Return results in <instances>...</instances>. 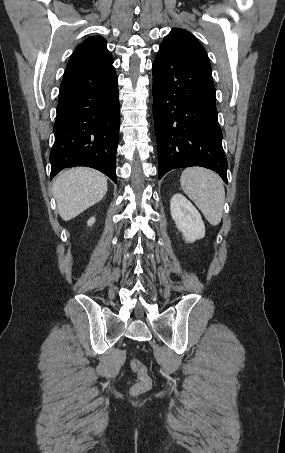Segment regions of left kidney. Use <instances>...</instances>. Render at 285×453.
<instances>
[{
	"label": "left kidney",
	"instance_id": "left-kidney-1",
	"mask_svg": "<svg viewBox=\"0 0 285 453\" xmlns=\"http://www.w3.org/2000/svg\"><path fill=\"white\" fill-rule=\"evenodd\" d=\"M171 216L186 242L205 236V226L198 210L182 194H174L170 201Z\"/></svg>",
	"mask_w": 285,
	"mask_h": 453
}]
</instances>
